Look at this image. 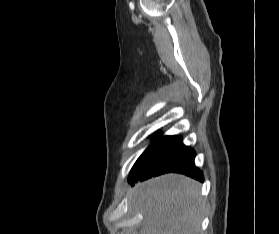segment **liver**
<instances>
[{
    "instance_id": "1",
    "label": "liver",
    "mask_w": 279,
    "mask_h": 234,
    "mask_svg": "<svg viewBox=\"0 0 279 234\" xmlns=\"http://www.w3.org/2000/svg\"><path fill=\"white\" fill-rule=\"evenodd\" d=\"M130 204L142 212L139 234H199L204 202L199 184L184 175L167 174L137 183Z\"/></svg>"
}]
</instances>
